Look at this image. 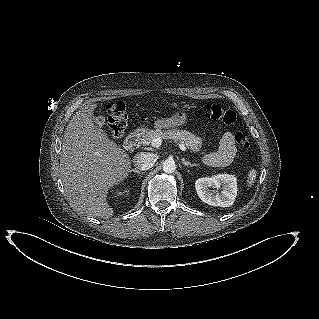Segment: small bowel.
Segmentation results:
<instances>
[{
    "instance_id": "small-bowel-1",
    "label": "small bowel",
    "mask_w": 319,
    "mask_h": 319,
    "mask_svg": "<svg viewBox=\"0 0 319 319\" xmlns=\"http://www.w3.org/2000/svg\"><path fill=\"white\" fill-rule=\"evenodd\" d=\"M236 143L231 132H226L216 151L204 155L203 161L213 167H223L232 162L236 155Z\"/></svg>"
}]
</instances>
